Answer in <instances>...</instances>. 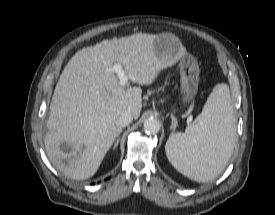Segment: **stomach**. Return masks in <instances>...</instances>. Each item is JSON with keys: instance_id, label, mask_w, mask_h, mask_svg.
<instances>
[{"instance_id": "1", "label": "stomach", "mask_w": 275, "mask_h": 215, "mask_svg": "<svg viewBox=\"0 0 275 215\" xmlns=\"http://www.w3.org/2000/svg\"><path fill=\"white\" fill-rule=\"evenodd\" d=\"M182 44L173 34L162 33L157 35L153 43L154 52L159 57L173 59L180 53ZM199 65L190 55H184L180 61V91L183 104H189L196 96L199 83Z\"/></svg>"}]
</instances>
